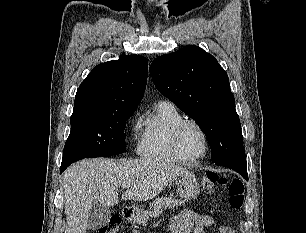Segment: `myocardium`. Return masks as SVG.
I'll list each match as a JSON object with an SVG mask.
<instances>
[{"mask_svg":"<svg viewBox=\"0 0 306 233\" xmlns=\"http://www.w3.org/2000/svg\"><path fill=\"white\" fill-rule=\"evenodd\" d=\"M188 125H192L196 127L200 131L204 139V151L200 156L195 157V158L186 157L180 148L179 142H180L181 132ZM171 143H172L173 151L176 154V156L180 160L184 162H189V163L198 162L204 159L207 156L209 149H210L209 137H208L206 130L203 128V126L200 123H198L197 121L193 119H183L174 127L173 132H172V137H171Z\"/></svg>","mask_w":306,"mask_h":233,"instance_id":"myocardium-1","label":"myocardium"}]
</instances>
